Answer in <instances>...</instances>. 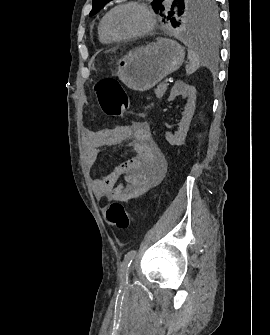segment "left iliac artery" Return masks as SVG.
Instances as JSON below:
<instances>
[{
	"label": "left iliac artery",
	"mask_w": 270,
	"mask_h": 335,
	"mask_svg": "<svg viewBox=\"0 0 270 335\" xmlns=\"http://www.w3.org/2000/svg\"><path fill=\"white\" fill-rule=\"evenodd\" d=\"M136 255V250H131L129 251L122 262L121 266V273H120V278H121V284L123 286H127L128 284V269Z\"/></svg>",
	"instance_id": "1"
}]
</instances>
